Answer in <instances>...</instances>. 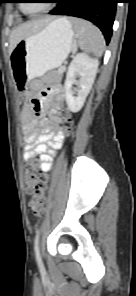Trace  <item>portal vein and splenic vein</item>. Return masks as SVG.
I'll use <instances>...</instances> for the list:
<instances>
[{
    "mask_svg": "<svg viewBox=\"0 0 136 296\" xmlns=\"http://www.w3.org/2000/svg\"><path fill=\"white\" fill-rule=\"evenodd\" d=\"M61 69H65V66H62Z\"/></svg>",
    "mask_w": 136,
    "mask_h": 296,
    "instance_id": "1",
    "label": "portal vein and splenic vein"
}]
</instances>
